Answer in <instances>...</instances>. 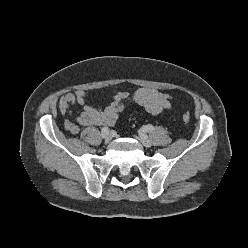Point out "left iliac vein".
Wrapping results in <instances>:
<instances>
[{
  "mask_svg": "<svg viewBox=\"0 0 248 248\" xmlns=\"http://www.w3.org/2000/svg\"><path fill=\"white\" fill-rule=\"evenodd\" d=\"M138 138L141 141V143L143 144V146H145L146 148L151 147L152 142L145 134L140 133Z\"/></svg>",
  "mask_w": 248,
  "mask_h": 248,
  "instance_id": "left-iliac-vein-1",
  "label": "left iliac vein"
}]
</instances>
